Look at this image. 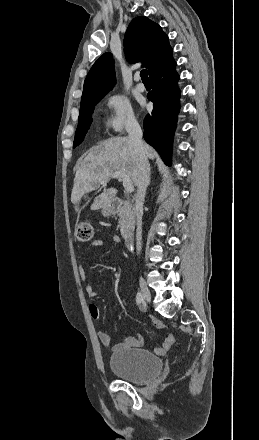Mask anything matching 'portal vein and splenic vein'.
Listing matches in <instances>:
<instances>
[{"label": "portal vein and splenic vein", "instance_id": "1", "mask_svg": "<svg viewBox=\"0 0 259 440\" xmlns=\"http://www.w3.org/2000/svg\"><path fill=\"white\" fill-rule=\"evenodd\" d=\"M111 178H116V179H119L120 181H122L123 187L127 193H132L134 191L133 183H132L130 177L126 173H124L122 171H117L111 175ZM106 183H107V181H102L101 185L105 186Z\"/></svg>", "mask_w": 259, "mask_h": 440}]
</instances>
